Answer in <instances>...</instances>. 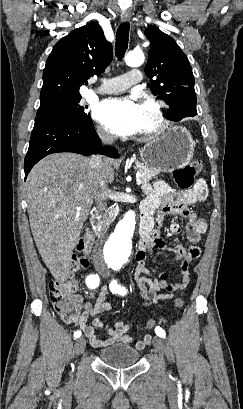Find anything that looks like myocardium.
<instances>
[{
	"mask_svg": "<svg viewBox=\"0 0 243 409\" xmlns=\"http://www.w3.org/2000/svg\"><path fill=\"white\" fill-rule=\"evenodd\" d=\"M141 102L152 108L156 119V124L154 127L148 130L139 132V136L144 138H151L164 132L169 125L168 119L166 118L165 114L164 103L157 99L154 95L149 93H144L141 95Z\"/></svg>",
	"mask_w": 243,
	"mask_h": 409,
	"instance_id": "myocardium-1",
	"label": "myocardium"
}]
</instances>
